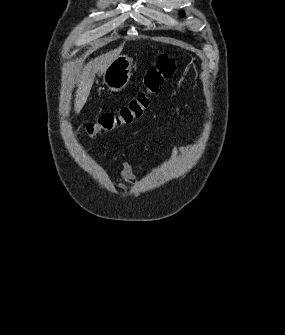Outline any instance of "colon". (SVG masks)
Here are the masks:
<instances>
[{
	"mask_svg": "<svg viewBox=\"0 0 285 335\" xmlns=\"http://www.w3.org/2000/svg\"><path fill=\"white\" fill-rule=\"evenodd\" d=\"M175 68L173 58L166 54L159 55L144 75V88L117 112L105 113L97 121L87 124L84 134L95 138L100 133L112 131L141 118L150 105L151 96L172 77Z\"/></svg>",
	"mask_w": 285,
	"mask_h": 335,
	"instance_id": "colon-1",
	"label": "colon"
}]
</instances>
